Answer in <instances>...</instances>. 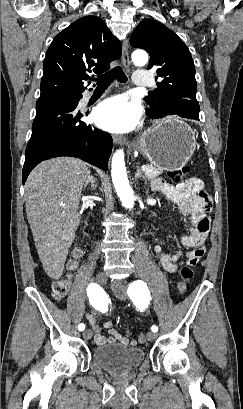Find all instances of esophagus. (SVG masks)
Listing matches in <instances>:
<instances>
[{
	"mask_svg": "<svg viewBox=\"0 0 243 409\" xmlns=\"http://www.w3.org/2000/svg\"><path fill=\"white\" fill-rule=\"evenodd\" d=\"M128 47H129L128 40L126 39V40H124V42L122 44V56H121L122 65L126 69H128L129 66H130V58H129ZM112 138H113V141L115 143L125 144V145H128V146L131 145L129 143V141L125 137H123L121 135H113Z\"/></svg>",
	"mask_w": 243,
	"mask_h": 409,
	"instance_id": "1",
	"label": "esophagus"
}]
</instances>
